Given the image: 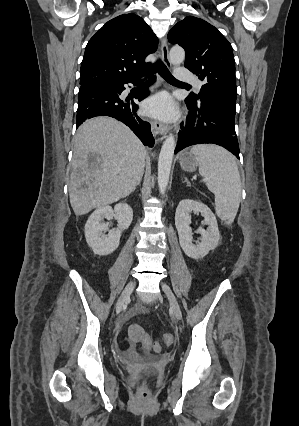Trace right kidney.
Masks as SVG:
<instances>
[{"instance_id": "right-kidney-1", "label": "right kidney", "mask_w": 299, "mask_h": 426, "mask_svg": "<svg viewBox=\"0 0 299 426\" xmlns=\"http://www.w3.org/2000/svg\"><path fill=\"white\" fill-rule=\"evenodd\" d=\"M117 218L118 227L109 230L104 219ZM133 220L132 208L127 203H118L111 206L97 208L88 218L85 224V238L89 247L96 255H108L113 253L119 246L121 234L126 230ZM108 231V235L104 234Z\"/></svg>"}]
</instances>
